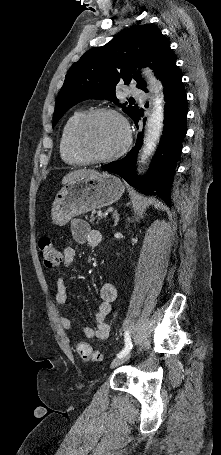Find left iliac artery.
<instances>
[{"label":"left iliac artery","mask_w":221,"mask_h":455,"mask_svg":"<svg viewBox=\"0 0 221 455\" xmlns=\"http://www.w3.org/2000/svg\"><path fill=\"white\" fill-rule=\"evenodd\" d=\"M125 348L119 353L117 354V357H122L126 354H128L130 352V350L132 349V341H131V336L129 334L128 331L125 332Z\"/></svg>","instance_id":"obj_1"}]
</instances>
